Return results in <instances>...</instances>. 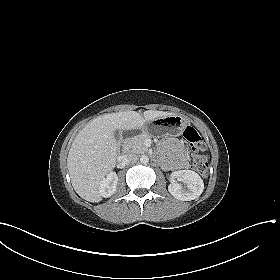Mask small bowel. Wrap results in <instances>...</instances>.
I'll return each mask as SVG.
<instances>
[{
  "instance_id": "small-bowel-1",
  "label": "small bowel",
  "mask_w": 280,
  "mask_h": 280,
  "mask_svg": "<svg viewBox=\"0 0 280 280\" xmlns=\"http://www.w3.org/2000/svg\"><path fill=\"white\" fill-rule=\"evenodd\" d=\"M187 147L184 143L172 144V155L170 158L163 160L162 165L168 170H184L187 168Z\"/></svg>"
}]
</instances>
